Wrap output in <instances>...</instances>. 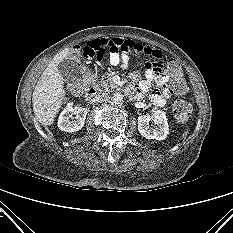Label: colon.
<instances>
[{
	"mask_svg": "<svg viewBox=\"0 0 233 233\" xmlns=\"http://www.w3.org/2000/svg\"><path fill=\"white\" fill-rule=\"evenodd\" d=\"M167 68L171 74V79L167 84L169 89L178 95L186 93L187 85L182 75L180 64L175 60H170L168 62ZM90 80L91 76L85 72L83 74V80L72 85L73 91L78 94H82ZM173 114L178 121L184 122L191 116L192 106L185 100H177L173 105Z\"/></svg>",
	"mask_w": 233,
	"mask_h": 233,
	"instance_id": "colon-1",
	"label": "colon"
}]
</instances>
